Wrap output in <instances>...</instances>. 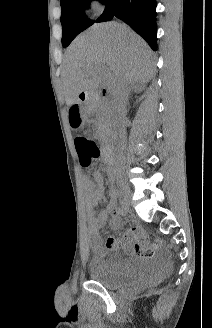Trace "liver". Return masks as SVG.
<instances>
[{
	"label": "liver",
	"instance_id": "liver-1",
	"mask_svg": "<svg viewBox=\"0 0 212 328\" xmlns=\"http://www.w3.org/2000/svg\"><path fill=\"white\" fill-rule=\"evenodd\" d=\"M151 51L144 40L125 24H95L80 34L65 52L63 74L66 103H75L102 82L100 67L110 73L105 85L114 90L118 81L145 84L155 74Z\"/></svg>",
	"mask_w": 212,
	"mask_h": 328
}]
</instances>
